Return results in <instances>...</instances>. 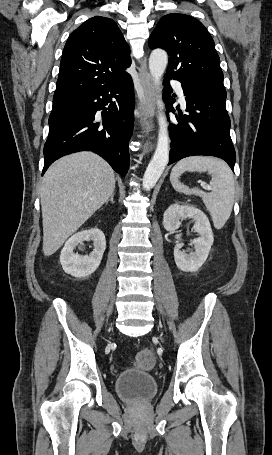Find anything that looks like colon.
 I'll return each instance as SVG.
<instances>
[{
  "mask_svg": "<svg viewBox=\"0 0 272 455\" xmlns=\"http://www.w3.org/2000/svg\"><path fill=\"white\" fill-rule=\"evenodd\" d=\"M135 366L142 370H150L155 365V356L149 349L139 351L135 357Z\"/></svg>",
  "mask_w": 272,
  "mask_h": 455,
  "instance_id": "5ec220e1",
  "label": "colon"
}]
</instances>
